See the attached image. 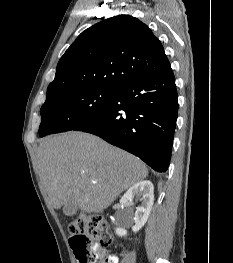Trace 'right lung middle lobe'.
I'll use <instances>...</instances> for the list:
<instances>
[{
  "mask_svg": "<svg viewBox=\"0 0 233 263\" xmlns=\"http://www.w3.org/2000/svg\"><path fill=\"white\" fill-rule=\"evenodd\" d=\"M117 89L88 87L47 97L41 107V137L73 130L103 112L112 102Z\"/></svg>",
  "mask_w": 233,
  "mask_h": 263,
  "instance_id": "obj_1",
  "label": "right lung middle lobe"
}]
</instances>
